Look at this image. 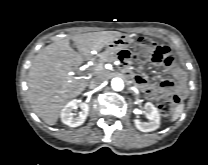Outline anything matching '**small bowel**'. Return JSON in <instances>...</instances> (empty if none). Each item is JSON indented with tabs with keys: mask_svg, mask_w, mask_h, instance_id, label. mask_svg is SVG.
Returning a JSON list of instances; mask_svg holds the SVG:
<instances>
[{
	"mask_svg": "<svg viewBox=\"0 0 208 165\" xmlns=\"http://www.w3.org/2000/svg\"><path fill=\"white\" fill-rule=\"evenodd\" d=\"M124 73L131 75L128 70H124ZM134 80L139 85L149 98H153L156 93L161 96H172L178 90L179 83L183 80V74L176 68L172 70V73H161L155 79V83H148L147 79L143 75H134Z\"/></svg>",
	"mask_w": 208,
	"mask_h": 165,
	"instance_id": "small-bowel-1",
	"label": "small bowel"
}]
</instances>
